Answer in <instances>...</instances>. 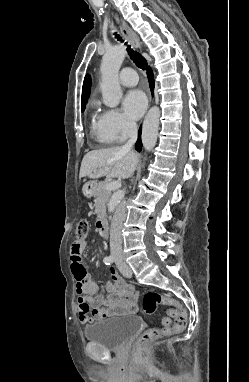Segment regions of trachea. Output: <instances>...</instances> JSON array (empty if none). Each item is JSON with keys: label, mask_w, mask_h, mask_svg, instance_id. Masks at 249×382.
<instances>
[{"label": "trachea", "mask_w": 249, "mask_h": 382, "mask_svg": "<svg viewBox=\"0 0 249 382\" xmlns=\"http://www.w3.org/2000/svg\"><path fill=\"white\" fill-rule=\"evenodd\" d=\"M115 37L119 41H122V38L116 33H115ZM127 51H128L130 58L133 60V62L136 64V66H138L139 68H141L143 70H145L147 68V61L141 54H139L138 52L131 49L130 46H127Z\"/></svg>", "instance_id": "trachea-1"}]
</instances>
